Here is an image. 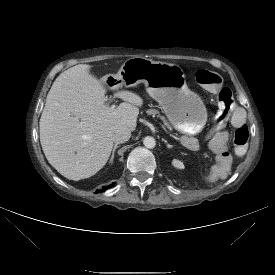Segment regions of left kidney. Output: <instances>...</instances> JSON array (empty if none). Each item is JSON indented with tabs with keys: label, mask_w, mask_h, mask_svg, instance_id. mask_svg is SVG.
<instances>
[{
	"label": "left kidney",
	"mask_w": 275,
	"mask_h": 275,
	"mask_svg": "<svg viewBox=\"0 0 275 275\" xmlns=\"http://www.w3.org/2000/svg\"><path fill=\"white\" fill-rule=\"evenodd\" d=\"M173 166L176 167V168H179V169H182L184 168V165L181 161L179 160H173L172 162Z\"/></svg>",
	"instance_id": "obj_1"
}]
</instances>
